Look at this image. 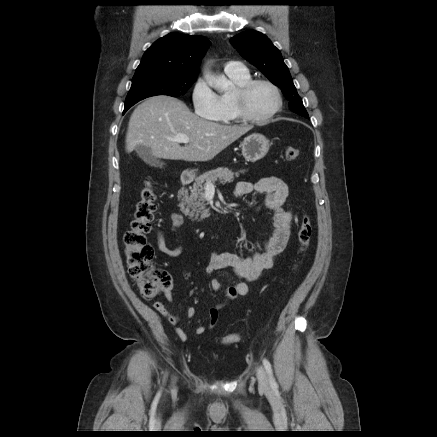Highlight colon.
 <instances>
[{
	"mask_svg": "<svg viewBox=\"0 0 437 437\" xmlns=\"http://www.w3.org/2000/svg\"><path fill=\"white\" fill-rule=\"evenodd\" d=\"M300 151L292 146L285 150L288 161L299 157ZM156 193L150 181H147L139 193L134 218L130 228L124 234L125 257L130 277L136 282L141 295L145 299L156 297L163 290L164 273L154 266V249L147 242L146 236L151 230V223L156 211ZM312 236L310 217L301 218L297 237L299 253L302 255L309 246ZM299 261L294 269L296 270ZM241 340L238 333H231L223 338V344L231 345Z\"/></svg>",
	"mask_w": 437,
	"mask_h": 437,
	"instance_id": "5ec220e1",
	"label": "colon"
}]
</instances>
